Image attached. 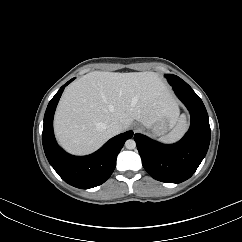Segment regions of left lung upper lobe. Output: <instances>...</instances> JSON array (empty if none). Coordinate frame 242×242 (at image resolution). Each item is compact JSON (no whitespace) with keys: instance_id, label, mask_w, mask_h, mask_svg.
Instances as JSON below:
<instances>
[{"instance_id":"1","label":"left lung upper lobe","mask_w":242,"mask_h":242,"mask_svg":"<svg viewBox=\"0 0 242 242\" xmlns=\"http://www.w3.org/2000/svg\"><path fill=\"white\" fill-rule=\"evenodd\" d=\"M165 77L173 87H190L185 81H183L181 78H179L176 75L165 74Z\"/></svg>"}]
</instances>
